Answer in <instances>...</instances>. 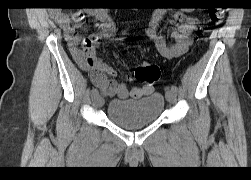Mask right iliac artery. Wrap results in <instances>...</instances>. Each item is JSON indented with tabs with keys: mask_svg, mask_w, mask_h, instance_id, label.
Returning a JSON list of instances; mask_svg holds the SVG:
<instances>
[{
	"mask_svg": "<svg viewBox=\"0 0 251 180\" xmlns=\"http://www.w3.org/2000/svg\"><path fill=\"white\" fill-rule=\"evenodd\" d=\"M99 94V92H98V90L96 89V88H93L92 90H91V95H92V97H94V96H96V95H98Z\"/></svg>",
	"mask_w": 251,
	"mask_h": 180,
	"instance_id": "obj_1",
	"label": "right iliac artery"
}]
</instances>
